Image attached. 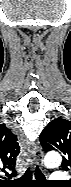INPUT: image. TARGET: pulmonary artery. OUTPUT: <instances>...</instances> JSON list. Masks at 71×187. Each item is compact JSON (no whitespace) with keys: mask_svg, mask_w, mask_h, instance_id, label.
I'll return each instance as SVG.
<instances>
[{"mask_svg":"<svg viewBox=\"0 0 71 187\" xmlns=\"http://www.w3.org/2000/svg\"><path fill=\"white\" fill-rule=\"evenodd\" d=\"M63 178H65V175H64L63 172H55L51 176V179H54V180H60V179H63Z\"/></svg>","mask_w":71,"mask_h":187,"instance_id":"e3ab8cb5","label":"pulmonary artery"}]
</instances>
